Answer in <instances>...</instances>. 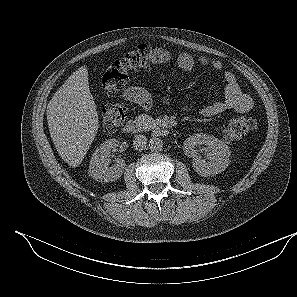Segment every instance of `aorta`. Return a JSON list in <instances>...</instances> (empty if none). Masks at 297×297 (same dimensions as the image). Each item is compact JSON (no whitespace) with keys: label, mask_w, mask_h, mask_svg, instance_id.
<instances>
[{"label":"aorta","mask_w":297,"mask_h":297,"mask_svg":"<svg viewBox=\"0 0 297 297\" xmlns=\"http://www.w3.org/2000/svg\"><path fill=\"white\" fill-rule=\"evenodd\" d=\"M162 147H163V142L160 138L158 137H153L152 139H150L149 141V148L152 150V151H161L162 150Z\"/></svg>","instance_id":"1"}]
</instances>
